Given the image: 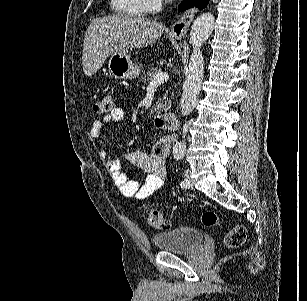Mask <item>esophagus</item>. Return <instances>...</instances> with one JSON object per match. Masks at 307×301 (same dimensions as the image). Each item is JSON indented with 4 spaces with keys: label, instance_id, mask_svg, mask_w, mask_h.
<instances>
[{
    "label": "esophagus",
    "instance_id": "obj_1",
    "mask_svg": "<svg viewBox=\"0 0 307 301\" xmlns=\"http://www.w3.org/2000/svg\"><path fill=\"white\" fill-rule=\"evenodd\" d=\"M194 16L195 9H189L174 23L171 28V35L176 40H182L185 37Z\"/></svg>",
    "mask_w": 307,
    "mask_h": 301
}]
</instances>
